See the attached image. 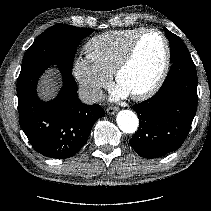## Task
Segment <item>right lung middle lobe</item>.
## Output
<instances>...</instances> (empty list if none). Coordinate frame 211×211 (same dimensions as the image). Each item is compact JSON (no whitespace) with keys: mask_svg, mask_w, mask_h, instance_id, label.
Returning <instances> with one entry per match:
<instances>
[{"mask_svg":"<svg viewBox=\"0 0 211 211\" xmlns=\"http://www.w3.org/2000/svg\"><path fill=\"white\" fill-rule=\"evenodd\" d=\"M92 32L94 29L67 24L48 28L25 52L20 73L39 65H57L72 71V63L78 45Z\"/></svg>","mask_w":211,"mask_h":211,"instance_id":"dd1d6c3e","label":"right lung middle lobe"}]
</instances>
